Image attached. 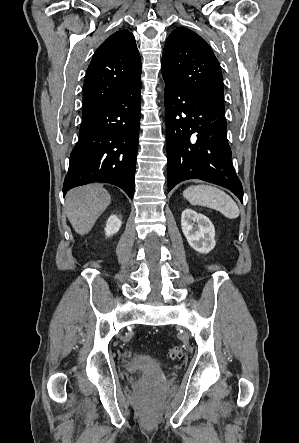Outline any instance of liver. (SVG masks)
<instances>
[{
    "instance_id": "1",
    "label": "liver",
    "mask_w": 299,
    "mask_h": 443,
    "mask_svg": "<svg viewBox=\"0 0 299 443\" xmlns=\"http://www.w3.org/2000/svg\"><path fill=\"white\" fill-rule=\"evenodd\" d=\"M110 202L109 192L101 185L89 184L72 189L65 199L68 220L78 234L86 235Z\"/></svg>"
}]
</instances>
